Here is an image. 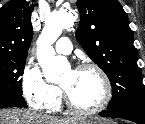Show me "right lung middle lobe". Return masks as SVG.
Returning <instances> with one entry per match:
<instances>
[{
    "instance_id": "right-lung-middle-lobe-1",
    "label": "right lung middle lobe",
    "mask_w": 145,
    "mask_h": 124,
    "mask_svg": "<svg viewBox=\"0 0 145 124\" xmlns=\"http://www.w3.org/2000/svg\"><path fill=\"white\" fill-rule=\"evenodd\" d=\"M26 58L0 57V95H22V79Z\"/></svg>"
}]
</instances>
